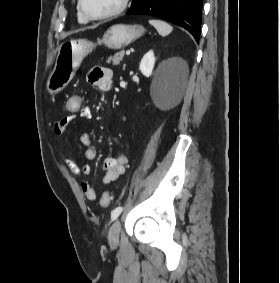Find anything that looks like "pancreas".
I'll return each mask as SVG.
<instances>
[{
  "mask_svg": "<svg viewBox=\"0 0 280 283\" xmlns=\"http://www.w3.org/2000/svg\"><path fill=\"white\" fill-rule=\"evenodd\" d=\"M124 57V51L115 53L113 56H110L107 60V63H112L113 65H119Z\"/></svg>",
  "mask_w": 280,
  "mask_h": 283,
  "instance_id": "obj_1",
  "label": "pancreas"
}]
</instances>
